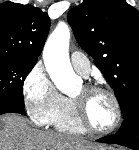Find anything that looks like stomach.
<instances>
[{"label":"stomach","mask_w":139,"mask_h":150,"mask_svg":"<svg viewBox=\"0 0 139 150\" xmlns=\"http://www.w3.org/2000/svg\"><path fill=\"white\" fill-rule=\"evenodd\" d=\"M94 150H116L115 148H105V147H98Z\"/></svg>","instance_id":"0dacf381"}]
</instances>
